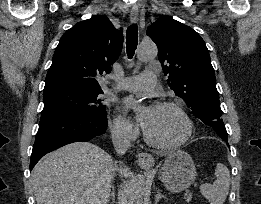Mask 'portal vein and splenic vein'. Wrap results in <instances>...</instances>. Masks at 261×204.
Wrapping results in <instances>:
<instances>
[{
  "instance_id": "18ae733b",
  "label": "portal vein and splenic vein",
  "mask_w": 261,
  "mask_h": 204,
  "mask_svg": "<svg viewBox=\"0 0 261 204\" xmlns=\"http://www.w3.org/2000/svg\"><path fill=\"white\" fill-rule=\"evenodd\" d=\"M184 198L186 200L187 203H189L192 199V193L191 191H187L185 194H184Z\"/></svg>"
}]
</instances>
